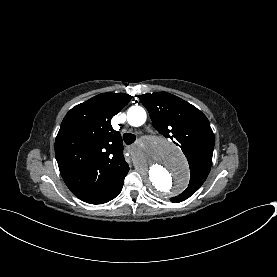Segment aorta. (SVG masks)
Returning <instances> with one entry per match:
<instances>
[{
	"mask_svg": "<svg viewBox=\"0 0 277 277\" xmlns=\"http://www.w3.org/2000/svg\"><path fill=\"white\" fill-rule=\"evenodd\" d=\"M146 117V111L140 106H132L127 112L131 126L143 125ZM133 160L146 187L158 198H168L188 184L186 159L180 149L166 139L153 136L141 139L134 150Z\"/></svg>",
	"mask_w": 277,
	"mask_h": 277,
	"instance_id": "1",
	"label": "aorta"
}]
</instances>
